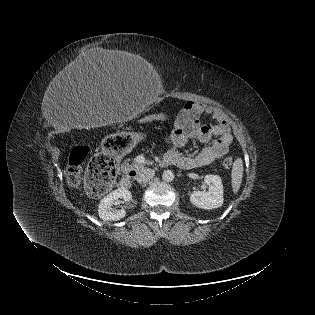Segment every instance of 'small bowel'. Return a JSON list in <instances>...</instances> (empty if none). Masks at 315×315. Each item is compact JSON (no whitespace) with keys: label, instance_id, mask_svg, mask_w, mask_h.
Returning <instances> with one entry per match:
<instances>
[{"label":"small bowel","instance_id":"c3829d8e","mask_svg":"<svg viewBox=\"0 0 315 315\" xmlns=\"http://www.w3.org/2000/svg\"><path fill=\"white\" fill-rule=\"evenodd\" d=\"M203 115L210 116L216 123L202 124L200 119ZM191 139H197L206 146L194 156L182 154L180 150ZM166 141L173 145L165 157L168 163L192 169L208 165L226 155L232 135L228 122L219 111L202 103L187 102L175 113L174 128Z\"/></svg>","mask_w":315,"mask_h":315}]
</instances>
